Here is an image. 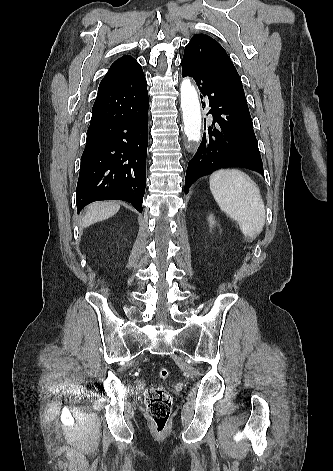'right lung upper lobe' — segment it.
<instances>
[{
	"instance_id": "cb5924a9",
	"label": "right lung upper lobe",
	"mask_w": 333,
	"mask_h": 471,
	"mask_svg": "<svg viewBox=\"0 0 333 471\" xmlns=\"http://www.w3.org/2000/svg\"><path fill=\"white\" fill-rule=\"evenodd\" d=\"M140 73V64L133 57L124 55L111 65L99 85L98 94L124 87Z\"/></svg>"
}]
</instances>
